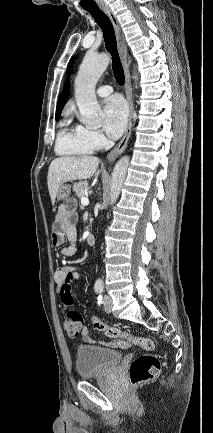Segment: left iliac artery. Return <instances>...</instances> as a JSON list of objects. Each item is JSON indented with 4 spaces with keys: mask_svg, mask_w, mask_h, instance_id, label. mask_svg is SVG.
I'll use <instances>...</instances> for the list:
<instances>
[{
    "mask_svg": "<svg viewBox=\"0 0 213 433\" xmlns=\"http://www.w3.org/2000/svg\"><path fill=\"white\" fill-rule=\"evenodd\" d=\"M98 303L101 304L102 303V295L98 296Z\"/></svg>",
    "mask_w": 213,
    "mask_h": 433,
    "instance_id": "44dca946",
    "label": "left iliac artery"
}]
</instances>
